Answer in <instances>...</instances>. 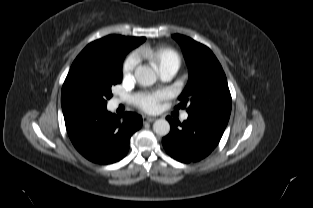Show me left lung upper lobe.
I'll list each match as a JSON object with an SVG mask.
<instances>
[{"label": "left lung upper lobe", "instance_id": "5c2ea615", "mask_svg": "<svg viewBox=\"0 0 313 208\" xmlns=\"http://www.w3.org/2000/svg\"><path fill=\"white\" fill-rule=\"evenodd\" d=\"M189 70V80L177 108H186L190 115L217 116L229 120L232 99L225 73L205 45L193 39L175 34Z\"/></svg>", "mask_w": 313, "mask_h": 208}]
</instances>
